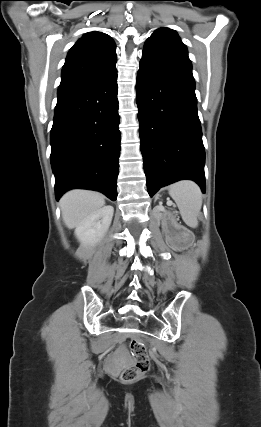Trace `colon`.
<instances>
[{
    "label": "colon",
    "instance_id": "colon-1",
    "mask_svg": "<svg viewBox=\"0 0 261 427\" xmlns=\"http://www.w3.org/2000/svg\"><path fill=\"white\" fill-rule=\"evenodd\" d=\"M130 351L133 356L134 363L121 373V379L124 382H133L139 379L146 374L150 368V359L147 348L141 340H132L130 343Z\"/></svg>",
    "mask_w": 261,
    "mask_h": 427
}]
</instances>
